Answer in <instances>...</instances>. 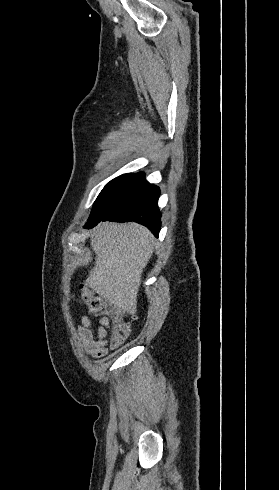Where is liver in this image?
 Wrapping results in <instances>:
<instances>
[{
    "label": "liver",
    "mask_w": 279,
    "mask_h": 490,
    "mask_svg": "<svg viewBox=\"0 0 279 490\" xmlns=\"http://www.w3.org/2000/svg\"><path fill=\"white\" fill-rule=\"evenodd\" d=\"M90 246L96 256L86 286L128 314L137 312L142 274L154 252L155 240L139 224L101 222Z\"/></svg>",
    "instance_id": "liver-1"
}]
</instances>
